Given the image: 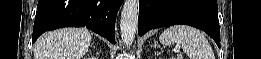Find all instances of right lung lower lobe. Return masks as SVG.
I'll return each instance as SVG.
<instances>
[{
    "label": "right lung lower lobe",
    "mask_w": 261,
    "mask_h": 59,
    "mask_svg": "<svg viewBox=\"0 0 261 59\" xmlns=\"http://www.w3.org/2000/svg\"><path fill=\"white\" fill-rule=\"evenodd\" d=\"M122 2L123 0H39L32 43L49 30L86 27L115 44V20Z\"/></svg>",
    "instance_id": "1"
}]
</instances>
